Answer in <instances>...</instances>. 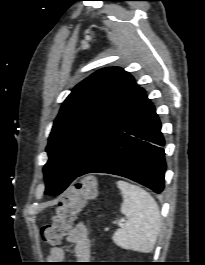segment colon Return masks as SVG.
Wrapping results in <instances>:
<instances>
[{
	"label": "colon",
	"instance_id": "1",
	"mask_svg": "<svg viewBox=\"0 0 205 265\" xmlns=\"http://www.w3.org/2000/svg\"><path fill=\"white\" fill-rule=\"evenodd\" d=\"M97 196V180L93 176L84 177L65 195L56 209L55 214L42 227L41 235L44 242L57 245L69 233L77 214L86 203Z\"/></svg>",
	"mask_w": 205,
	"mask_h": 265
}]
</instances>
